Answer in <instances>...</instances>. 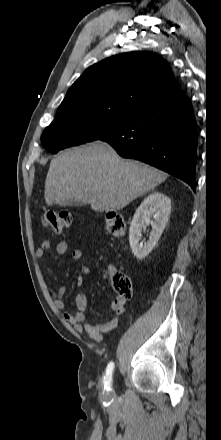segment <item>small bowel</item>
<instances>
[{
	"mask_svg": "<svg viewBox=\"0 0 221 440\" xmlns=\"http://www.w3.org/2000/svg\"><path fill=\"white\" fill-rule=\"evenodd\" d=\"M52 247V242L50 240H45L42 243L41 248H39L35 255L36 258L42 259L45 257L48 250H50ZM68 250V243L66 241H60L56 245V253L59 255H63ZM82 251L79 249H74L71 252V257L74 261H80L82 259ZM90 269L88 266H81L80 268V274L76 278V285L81 286L87 275H89ZM66 288L64 286H61L57 292L53 293V300L56 308L59 310H65L66 309V303L64 301V294H65ZM75 304L77 307V311L75 313H69L64 312L63 318L64 320L73 325L74 329L76 331H85L88 335V337L94 341H101L104 337V335L116 328L119 324L120 316L124 313L125 310V304L126 299L116 297L113 302L111 303V310L114 313V317L105 322V323H90L87 322V307H88V300L87 296L84 293H78L75 297Z\"/></svg>",
	"mask_w": 221,
	"mask_h": 440,
	"instance_id": "c3829d8e",
	"label": "small bowel"
}]
</instances>
